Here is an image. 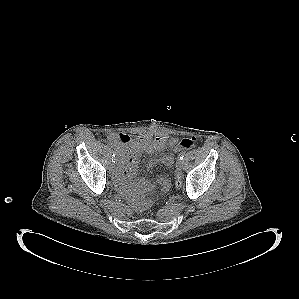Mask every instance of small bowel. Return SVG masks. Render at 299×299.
<instances>
[{
  "mask_svg": "<svg viewBox=\"0 0 299 299\" xmlns=\"http://www.w3.org/2000/svg\"><path fill=\"white\" fill-rule=\"evenodd\" d=\"M108 140L115 146L118 153L117 181L127 189L136 188L140 192H148L153 189V185L147 179H142L139 182L132 181L137 173L140 155L144 152L151 154L163 151L167 147L176 146V139H170L164 135L131 137L125 133H111L108 135ZM173 163V155L165 154L159 158L151 159L147 163V168L150 169L159 164L171 167ZM158 184L166 191L171 182L169 178L161 177Z\"/></svg>",
  "mask_w": 299,
  "mask_h": 299,
  "instance_id": "obj_1",
  "label": "small bowel"
}]
</instances>
